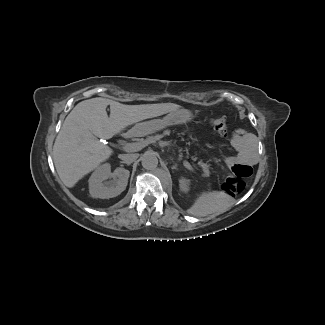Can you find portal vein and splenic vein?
<instances>
[{
    "label": "portal vein and splenic vein",
    "mask_w": 325,
    "mask_h": 325,
    "mask_svg": "<svg viewBox=\"0 0 325 325\" xmlns=\"http://www.w3.org/2000/svg\"><path fill=\"white\" fill-rule=\"evenodd\" d=\"M155 142L152 138L141 141V142H136V143H126L124 146H122V149L126 152H135L141 150L143 147L146 145ZM183 164L186 168L192 169V166L189 164L188 161H183Z\"/></svg>",
    "instance_id": "portal-vein-and-splenic-vein-1"
}]
</instances>
